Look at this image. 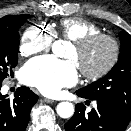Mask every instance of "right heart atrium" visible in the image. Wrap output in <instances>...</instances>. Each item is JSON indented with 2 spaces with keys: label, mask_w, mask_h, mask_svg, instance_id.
<instances>
[{
  "label": "right heart atrium",
  "mask_w": 131,
  "mask_h": 131,
  "mask_svg": "<svg viewBox=\"0 0 131 131\" xmlns=\"http://www.w3.org/2000/svg\"><path fill=\"white\" fill-rule=\"evenodd\" d=\"M55 39L54 32L42 25L29 26L20 39V54L23 56L33 55L47 51Z\"/></svg>",
  "instance_id": "obj_1"
}]
</instances>
